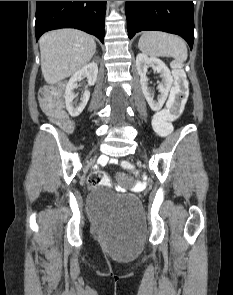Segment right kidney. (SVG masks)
Returning a JSON list of instances; mask_svg holds the SVG:
<instances>
[{"mask_svg":"<svg viewBox=\"0 0 233 295\" xmlns=\"http://www.w3.org/2000/svg\"><path fill=\"white\" fill-rule=\"evenodd\" d=\"M97 75L98 65L96 62H91L75 72L67 82L64 97L66 108L72 117H77L82 113L90 98L89 90H85L81 96L80 102L77 103L74 101V89L78 87V81L81 80L82 76H85L87 78L88 85L91 86L96 83Z\"/></svg>","mask_w":233,"mask_h":295,"instance_id":"1","label":"right kidney"}]
</instances>
